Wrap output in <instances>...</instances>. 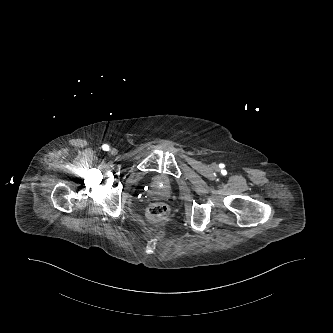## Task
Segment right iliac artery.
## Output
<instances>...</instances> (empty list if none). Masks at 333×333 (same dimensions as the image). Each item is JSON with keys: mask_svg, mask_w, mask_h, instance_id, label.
<instances>
[{"mask_svg": "<svg viewBox=\"0 0 333 333\" xmlns=\"http://www.w3.org/2000/svg\"><path fill=\"white\" fill-rule=\"evenodd\" d=\"M102 149H103L104 151H108V150H109V145H108V144H104V145H102Z\"/></svg>", "mask_w": 333, "mask_h": 333, "instance_id": "82829eb1", "label": "right iliac artery"}]
</instances>
